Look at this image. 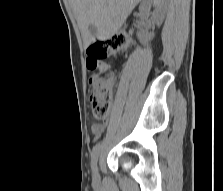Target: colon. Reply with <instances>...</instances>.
Wrapping results in <instances>:
<instances>
[{
	"instance_id": "colon-1",
	"label": "colon",
	"mask_w": 223,
	"mask_h": 191,
	"mask_svg": "<svg viewBox=\"0 0 223 191\" xmlns=\"http://www.w3.org/2000/svg\"><path fill=\"white\" fill-rule=\"evenodd\" d=\"M128 37L123 34L115 35L106 41H96L87 49V67L99 70L100 73L90 78V101L93 107V116L96 119H105L111 108L112 97L110 92V67L101 62L111 53L120 51L128 45Z\"/></svg>"
}]
</instances>
